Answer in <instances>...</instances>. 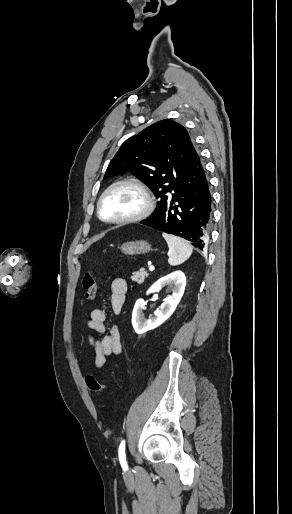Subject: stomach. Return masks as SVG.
Listing matches in <instances>:
<instances>
[{
	"label": "stomach",
	"mask_w": 292,
	"mask_h": 514,
	"mask_svg": "<svg viewBox=\"0 0 292 514\" xmlns=\"http://www.w3.org/2000/svg\"><path fill=\"white\" fill-rule=\"evenodd\" d=\"M151 246L148 242H126V244H122L121 252L123 254H129V256H133V254H147L150 252Z\"/></svg>",
	"instance_id": "1"
}]
</instances>
